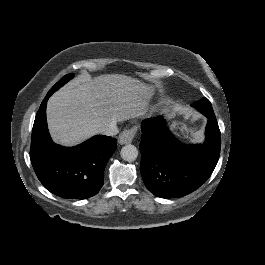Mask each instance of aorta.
I'll list each match as a JSON object with an SVG mask.
<instances>
[{
    "mask_svg": "<svg viewBox=\"0 0 265 265\" xmlns=\"http://www.w3.org/2000/svg\"><path fill=\"white\" fill-rule=\"evenodd\" d=\"M120 155L123 160L131 162L137 158L138 150L134 145L128 144L121 148Z\"/></svg>",
    "mask_w": 265,
    "mask_h": 265,
    "instance_id": "aorta-1",
    "label": "aorta"
}]
</instances>
